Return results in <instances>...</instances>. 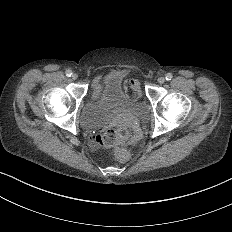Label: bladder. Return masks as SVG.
<instances>
[{
    "mask_svg": "<svg viewBox=\"0 0 232 232\" xmlns=\"http://www.w3.org/2000/svg\"><path fill=\"white\" fill-rule=\"evenodd\" d=\"M126 77L123 70H111L101 78V92L90 97L80 111V124L85 129H97L118 114L131 115L139 120L148 117L149 109L144 101L130 98L123 90Z\"/></svg>",
    "mask_w": 232,
    "mask_h": 232,
    "instance_id": "31cf9c89",
    "label": "bladder"
}]
</instances>
